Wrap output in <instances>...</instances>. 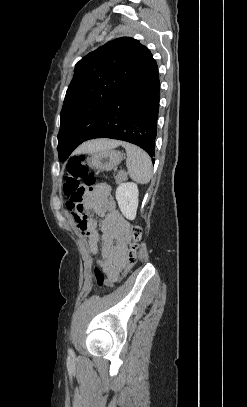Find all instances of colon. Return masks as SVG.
I'll use <instances>...</instances> for the list:
<instances>
[{
    "mask_svg": "<svg viewBox=\"0 0 247 407\" xmlns=\"http://www.w3.org/2000/svg\"><path fill=\"white\" fill-rule=\"evenodd\" d=\"M64 176L63 191L74 204H78L82 201L86 188H91L96 184L95 176L89 170L83 156H75L69 160L65 168ZM128 229L133 242L127 252V262L123 276L127 275L136 264L138 241L141 237V228L139 226L129 223ZM93 272L95 281L99 286L113 285L114 281L108 280L99 268L95 267Z\"/></svg>",
    "mask_w": 247,
    "mask_h": 407,
    "instance_id": "colon-1",
    "label": "colon"
}]
</instances>
